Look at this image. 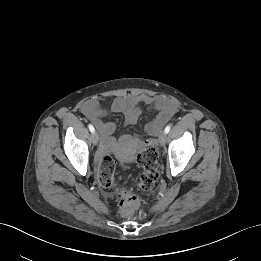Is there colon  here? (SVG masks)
<instances>
[{
	"label": "colon",
	"mask_w": 261,
	"mask_h": 261,
	"mask_svg": "<svg viewBox=\"0 0 261 261\" xmlns=\"http://www.w3.org/2000/svg\"><path fill=\"white\" fill-rule=\"evenodd\" d=\"M140 146L137 162L143 169L140 177L134 181L131 187L118 186L115 181V161L110 156H105L99 166V182L104 188H115L120 197V212L128 217L138 207V200L131 190L150 192L154 189L159 177L158 154L156 149L145 138H138Z\"/></svg>",
	"instance_id": "5ec220e1"
}]
</instances>
